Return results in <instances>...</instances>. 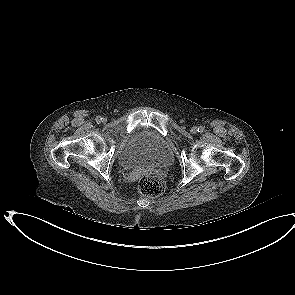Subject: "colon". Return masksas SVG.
<instances>
[{
	"label": "colon",
	"instance_id": "5ec220e1",
	"mask_svg": "<svg viewBox=\"0 0 295 295\" xmlns=\"http://www.w3.org/2000/svg\"><path fill=\"white\" fill-rule=\"evenodd\" d=\"M165 190V182L163 178L156 173L143 175L138 183V191L147 197L160 196Z\"/></svg>",
	"mask_w": 295,
	"mask_h": 295
}]
</instances>
